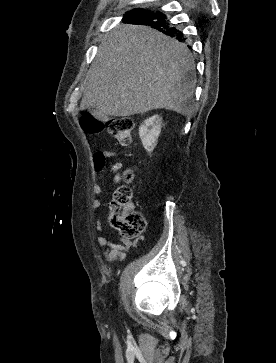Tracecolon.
<instances>
[{
	"label": "colon",
	"instance_id": "obj_1",
	"mask_svg": "<svg viewBox=\"0 0 276 363\" xmlns=\"http://www.w3.org/2000/svg\"><path fill=\"white\" fill-rule=\"evenodd\" d=\"M81 125L89 134L104 131L110 133L116 142L128 146L132 140L134 120L130 117H118L106 122L86 114L81 117ZM122 179L129 182L133 179V172L126 170ZM132 191L127 186L117 188L109 205V223L125 238L138 237L144 230L146 222L143 215L130 206Z\"/></svg>",
	"mask_w": 276,
	"mask_h": 363
}]
</instances>
